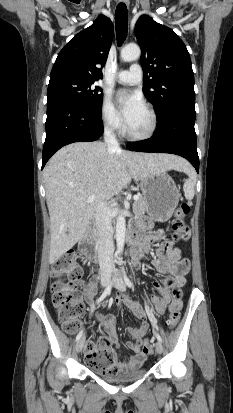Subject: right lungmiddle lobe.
<instances>
[{
  "instance_id": "1",
  "label": "right lung middle lobe",
  "mask_w": 233,
  "mask_h": 413,
  "mask_svg": "<svg viewBox=\"0 0 233 413\" xmlns=\"http://www.w3.org/2000/svg\"><path fill=\"white\" fill-rule=\"evenodd\" d=\"M95 81L67 77L50 81L47 91V103L56 100H67L96 113L101 112L102 89L94 86Z\"/></svg>"
}]
</instances>
